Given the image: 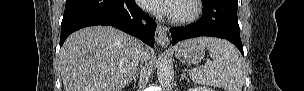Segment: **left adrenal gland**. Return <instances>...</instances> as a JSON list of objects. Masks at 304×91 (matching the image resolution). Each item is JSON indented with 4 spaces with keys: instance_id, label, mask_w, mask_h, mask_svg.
I'll list each match as a JSON object with an SVG mask.
<instances>
[{
    "instance_id": "left-adrenal-gland-1",
    "label": "left adrenal gland",
    "mask_w": 304,
    "mask_h": 91,
    "mask_svg": "<svg viewBox=\"0 0 304 91\" xmlns=\"http://www.w3.org/2000/svg\"><path fill=\"white\" fill-rule=\"evenodd\" d=\"M184 79H186V80L189 81V78L186 76L185 70H182V75H181V77H180V81H182V80H184Z\"/></svg>"
}]
</instances>
